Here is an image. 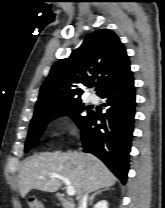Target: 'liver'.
I'll return each instance as SVG.
<instances>
[{
    "instance_id": "1",
    "label": "liver",
    "mask_w": 165,
    "mask_h": 208,
    "mask_svg": "<svg viewBox=\"0 0 165 208\" xmlns=\"http://www.w3.org/2000/svg\"><path fill=\"white\" fill-rule=\"evenodd\" d=\"M50 173L67 177L76 191L77 199L86 193L109 188L117 180L94 155L71 150L40 153L27 158L19 171L20 195L24 198L32 189L56 192L62 186V181L50 177Z\"/></svg>"
}]
</instances>
